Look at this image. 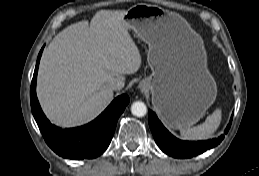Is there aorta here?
<instances>
[{"mask_svg":"<svg viewBox=\"0 0 259 176\" xmlns=\"http://www.w3.org/2000/svg\"><path fill=\"white\" fill-rule=\"evenodd\" d=\"M131 112L134 116L143 117L147 113V107L145 103L136 101L131 105Z\"/></svg>","mask_w":259,"mask_h":176,"instance_id":"762f6f07","label":"aorta"}]
</instances>
